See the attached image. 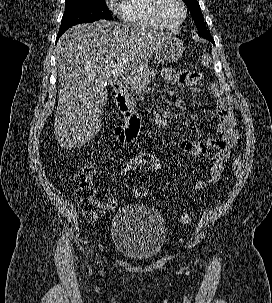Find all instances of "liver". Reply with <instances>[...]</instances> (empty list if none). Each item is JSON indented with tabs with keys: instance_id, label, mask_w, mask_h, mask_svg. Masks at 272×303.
<instances>
[{
	"instance_id": "liver-1",
	"label": "liver",
	"mask_w": 272,
	"mask_h": 303,
	"mask_svg": "<svg viewBox=\"0 0 272 303\" xmlns=\"http://www.w3.org/2000/svg\"><path fill=\"white\" fill-rule=\"evenodd\" d=\"M169 36L138 25L100 20L71 27L60 37L54 131L64 148L81 147L100 130L108 98L105 82L128 65L133 74L145 70Z\"/></svg>"
}]
</instances>
